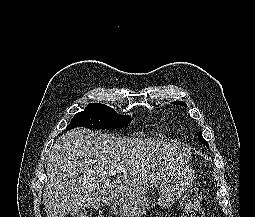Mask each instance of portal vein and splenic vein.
<instances>
[{"label": "portal vein and splenic vein", "mask_w": 255, "mask_h": 217, "mask_svg": "<svg viewBox=\"0 0 255 217\" xmlns=\"http://www.w3.org/2000/svg\"><path fill=\"white\" fill-rule=\"evenodd\" d=\"M124 171L120 166L112 167L111 171L105 172L106 175H114L116 172Z\"/></svg>", "instance_id": "1"}]
</instances>
